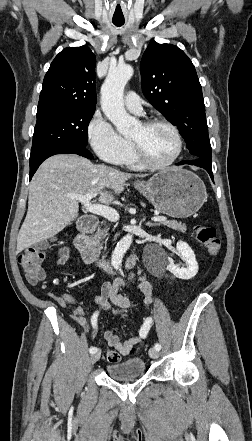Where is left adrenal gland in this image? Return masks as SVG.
I'll return each instance as SVG.
<instances>
[{"instance_id": "a2214340", "label": "left adrenal gland", "mask_w": 252, "mask_h": 441, "mask_svg": "<svg viewBox=\"0 0 252 441\" xmlns=\"http://www.w3.org/2000/svg\"><path fill=\"white\" fill-rule=\"evenodd\" d=\"M146 225H147L148 227H155V226H158L157 223H151V222H147Z\"/></svg>"}]
</instances>
